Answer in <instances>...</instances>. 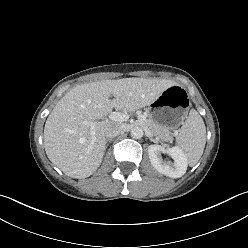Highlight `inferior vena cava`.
Wrapping results in <instances>:
<instances>
[{"label":"inferior vena cava","instance_id":"1","mask_svg":"<svg viewBox=\"0 0 248 248\" xmlns=\"http://www.w3.org/2000/svg\"><path fill=\"white\" fill-rule=\"evenodd\" d=\"M122 131V127L119 124H112L106 127L105 129V137L108 139H112L119 135Z\"/></svg>","mask_w":248,"mask_h":248}]
</instances>
